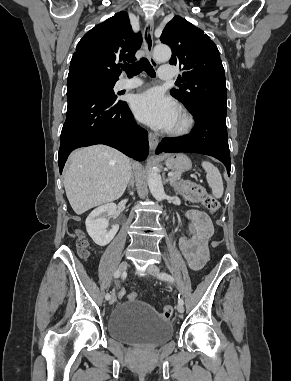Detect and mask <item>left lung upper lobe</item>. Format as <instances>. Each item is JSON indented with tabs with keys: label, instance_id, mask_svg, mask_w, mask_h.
I'll return each mask as SVG.
<instances>
[{
	"label": "left lung upper lobe",
	"instance_id": "5c2ea615",
	"mask_svg": "<svg viewBox=\"0 0 291 381\" xmlns=\"http://www.w3.org/2000/svg\"><path fill=\"white\" fill-rule=\"evenodd\" d=\"M160 40L170 46L171 65L182 66L180 89L171 95L190 112L200 108H227L224 68L215 43L202 30L175 16L162 32Z\"/></svg>",
	"mask_w": 291,
	"mask_h": 381
}]
</instances>
